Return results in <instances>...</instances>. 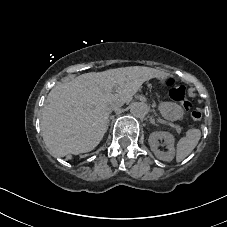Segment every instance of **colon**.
I'll list each match as a JSON object with an SVG mask.
<instances>
[{
  "label": "colon",
  "instance_id": "5ec220e1",
  "mask_svg": "<svg viewBox=\"0 0 227 227\" xmlns=\"http://www.w3.org/2000/svg\"><path fill=\"white\" fill-rule=\"evenodd\" d=\"M165 85L170 88V95L172 99L180 103L183 108L188 111L190 109V103L187 100V90L180 81L168 78L165 80ZM190 117L194 121H200L202 119V112L199 109H193L190 111Z\"/></svg>",
  "mask_w": 227,
  "mask_h": 227
}]
</instances>
